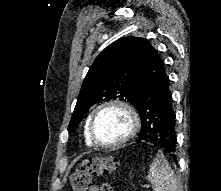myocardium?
Masks as SVG:
<instances>
[{
    "label": "myocardium",
    "mask_w": 221,
    "mask_h": 191,
    "mask_svg": "<svg viewBox=\"0 0 221 191\" xmlns=\"http://www.w3.org/2000/svg\"><path fill=\"white\" fill-rule=\"evenodd\" d=\"M106 109H120L122 110L129 119V128L127 133L123 138H121L118 141L111 142V143H103L100 142L94 133V125L97 116L100 112L106 110ZM140 128V117L137 112V110L128 102L122 101V100H109L106 102H103L102 104L98 105L92 112L89 123H88V134L89 138L92 141V143L98 147L101 148H119L126 143H128L130 140H132L135 135L137 134L138 130Z\"/></svg>",
    "instance_id": "f54148a6"
}]
</instances>
